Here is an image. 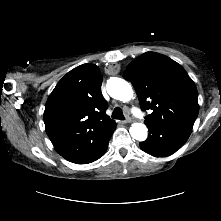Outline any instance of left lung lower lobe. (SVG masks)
Masks as SVG:
<instances>
[{"mask_svg":"<svg viewBox=\"0 0 221 221\" xmlns=\"http://www.w3.org/2000/svg\"><path fill=\"white\" fill-rule=\"evenodd\" d=\"M148 138L140 142L141 149L155 157H166L175 153L187 141L192 128L162 126L145 122Z\"/></svg>","mask_w":221,"mask_h":221,"instance_id":"left-lung-lower-lobe-1","label":"left lung lower lobe"}]
</instances>
